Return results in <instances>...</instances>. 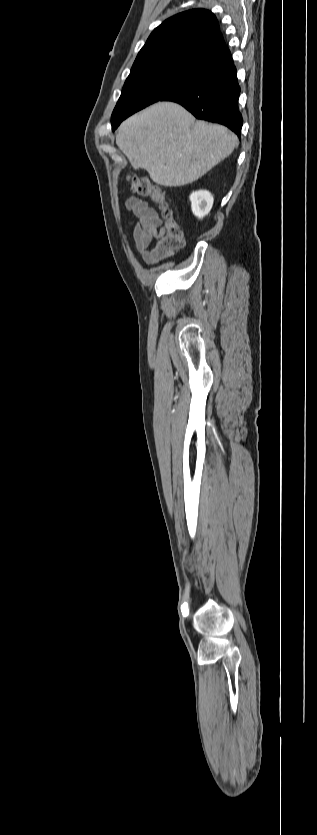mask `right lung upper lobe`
<instances>
[{"mask_svg":"<svg viewBox=\"0 0 317 835\" xmlns=\"http://www.w3.org/2000/svg\"><path fill=\"white\" fill-rule=\"evenodd\" d=\"M224 45L218 21L212 12L205 9L185 11L165 20L151 33L131 72L190 58Z\"/></svg>","mask_w":317,"mask_h":835,"instance_id":"right-lung-upper-lobe-1","label":"right lung upper lobe"}]
</instances>
